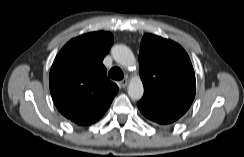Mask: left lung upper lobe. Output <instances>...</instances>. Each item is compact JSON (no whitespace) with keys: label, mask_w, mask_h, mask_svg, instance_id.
<instances>
[{"label":"left lung upper lobe","mask_w":244,"mask_h":157,"mask_svg":"<svg viewBox=\"0 0 244 157\" xmlns=\"http://www.w3.org/2000/svg\"><path fill=\"white\" fill-rule=\"evenodd\" d=\"M144 95L140 112L158 124H170L189 109L196 92L195 73L186 51L177 43L145 34L139 54Z\"/></svg>","instance_id":"1"}]
</instances>
